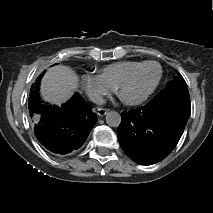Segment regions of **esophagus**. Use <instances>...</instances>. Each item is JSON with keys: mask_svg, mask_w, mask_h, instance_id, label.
Here are the masks:
<instances>
[{"mask_svg": "<svg viewBox=\"0 0 213 213\" xmlns=\"http://www.w3.org/2000/svg\"><path fill=\"white\" fill-rule=\"evenodd\" d=\"M109 110L108 109H105V108H98L97 109V114L100 116V117H103L104 115H106V113L108 112Z\"/></svg>", "mask_w": 213, "mask_h": 213, "instance_id": "34e87169", "label": "esophagus"}]
</instances>
